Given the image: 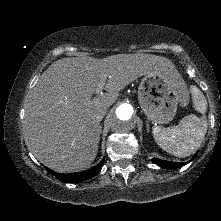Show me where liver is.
I'll list each match as a JSON object with an SVG mask.
<instances>
[{
	"label": "liver",
	"instance_id": "obj_1",
	"mask_svg": "<svg viewBox=\"0 0 221 221\" xmlns=\"http://www.w3.org/2000/svg\"><path fill=\"white\" fill-rule=\"evenodd\" d=\"M173 63L150 54H117L103 59L62 58L40 76L25 102L23 131L27 146L48 168L81 171L94 161L101 125L97 113L138 77L170 71ZM106 93L93 97L100 81Z\"/></svg>",
	"mask_w": 221,
	"mask_h": 221
}]
</instances>
